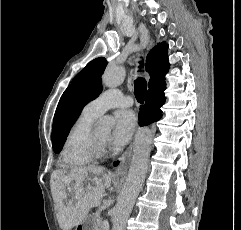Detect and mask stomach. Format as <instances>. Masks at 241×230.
<instances>
[{"label": "stomach", "instance_id": "stomach-1", "mask_svg": "<svg viewBox=\"0 0 241 230\" xmlns=\"http://www.w3.org/2000/svg\"><path fill=\"white\" fill-rule=\"evenodd\" d=\"M95 221L90 217H86L79 225L76 226L75 230H94Z\"/></svg>", "mask_w": 241, "mask_h": 230}]
</instances>
